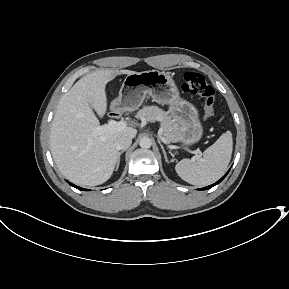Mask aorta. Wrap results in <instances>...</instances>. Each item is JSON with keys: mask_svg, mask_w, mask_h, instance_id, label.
<instances>
[{"mask_svg": "<svg viewBox=\"0 0 289 289\" xmlns=\"http://www.w3.org/2000/svg\"><path fill=\"white\" fill-rule=\"evenodd\" d=\"M139 145L143 149H148V148L151 147L152 141H151V139L149 137H143V138L140 139Z\"/></svg>", "mask_w": 289, "mask_h": 289, "instance_id": "aorta-1", "label": "aorta"}]
</instances>
